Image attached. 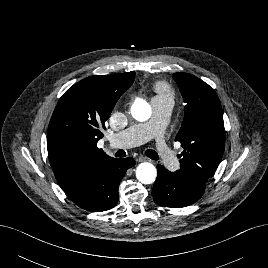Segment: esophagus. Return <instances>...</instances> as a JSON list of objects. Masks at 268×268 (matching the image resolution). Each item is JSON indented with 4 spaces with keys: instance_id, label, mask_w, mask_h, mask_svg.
Here are the masks:
<instances>
[{
    "instance_id": "34e87169",
    "label": "esophagus",
    "mask_w": 268,
    "mask_h": 268,
    "mask_svg": "<svg viewBox=\"0 0 268 268\" xmlns=\"http://www.w3.org/2000/svg\"><path fill=\"white\" fill-rule=\"evenodd\" d=\"M137 161L138 162H144V161H149V158L145 157V156H139L137 158Z\"/></svg>"
}]
</instances>
